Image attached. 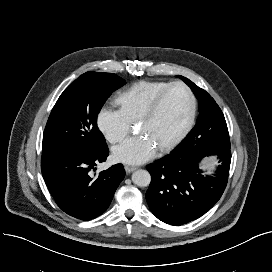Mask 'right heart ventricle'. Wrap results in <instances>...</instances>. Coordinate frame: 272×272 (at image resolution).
I'll use <instances>...</instances> for the list:
<instances>
[{
    "instance_id": "e07e8e85",
    "label": "right heart ventricle",
    "mask_w": 272,
    "mask_h": 272,
    "mask_svg": "<svg viewBox=\"0 0 272 272\" xmlns=\"http://www.w3.org/2000/svg\"><path fill=\"white\" fill-rule=\"evenodd\" d=\"M168 84L165 81L135 82L118 94L116 103L129 121L137 122L152 99Z\"/></svg>"
}]
</instances>
